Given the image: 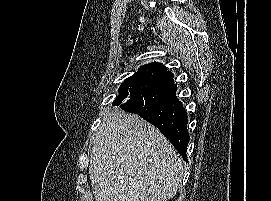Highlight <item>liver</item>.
I'll return each mask as SVG.
<instances>
[{
	"label": "liver",
	"instance_id": "1",
	"mask_svg": "<svg viewBox=\"0 0 271 201\" xmlns=\"http://www.w3.org/2000/svg\"><path fill=\"white\" fill-rule=\"evenodd\" d=\"M183 170L157 128L120 110L104 115L89 165L96 201H168L177 193Z\"/></svg>",
	"mask_w": 271,
	"mask_h": 201
}]
</instances>
